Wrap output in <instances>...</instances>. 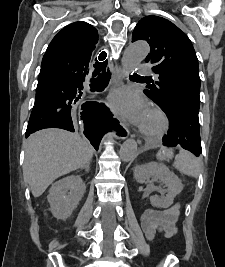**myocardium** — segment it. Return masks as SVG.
<instances>
[{
	"label": "myocardium",
	"mask_w": 225,
	"mask_h": 267,
	"mask_svg": "<svg viewBox=\"0 0 225 267\" xmlns=\"http://www.w3.org/2000/svg\"><path fill=\"white\" fill-rule=\"evenodd\" d=\"M148 111L150 113H153L159 118L160 126L158 129L154 131H147L140 127V132L147 139H159L163 137L169 130L170 122H169L168 116L162 109L155 107V106L150 107Z\"/></svg>",
	"instance_id": "1"
}]
</instances>
